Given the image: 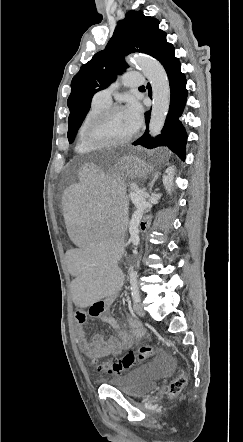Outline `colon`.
Listing matches in <instances>:
<instances>
[{
    "mask_svg": "<svg viewBox=\"0 0 243 442\" xmlns=\"http://www.w3.org/2000/svg\"><path fill=\"white\" fill-rule=\"evenodd\" d=\"M142 221L143 222L140 223V231L141 233L146 234L149 232V227L153 224L154 220L152 216H144ZM155 351V347L151 345H143L137 352H128L123 357H107L106 362H95L94 358L87 357L85 358L84 363L87 366L95 365L96 370L103 374H119L148 360L154 355ZM186 382V376L181 375L177 377L170 384V394L177 395L180 393Z\"/></svg>",
    "mask_w": 243,
    "mask_h": 442,
    "instance_id": "5ec220e1",
    "label": "colon"
}]
</instances>
